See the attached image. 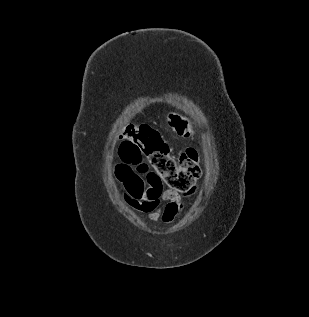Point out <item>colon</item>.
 Returning <instances> with one entry per match:
<instances>
[{
  "label": "colon",
  "instance_id": "colon-1",
  "mask_svg": "<svg viewBox=\"0 0 309 317\" xmlns=\"http://www.w3.org/2000/svg\"><path fill=\"white\" fill-rule=\"evenodd\" d=\"M171 125L178 133L184 134L188 123L179 115L170 116ZM124 141L120 151L127 161L137 163L143 156L149 159L161 182L179 193L191 191L201 176L199 153L187 148L176 159L170 155L168 144L160 133L147 124L127 125L123 132Z\"/></svg>",
  "mask_w": 309,
  "mask_h": 317
}]
</instances>
